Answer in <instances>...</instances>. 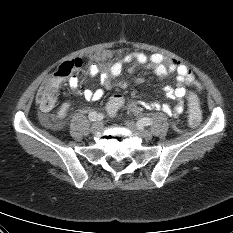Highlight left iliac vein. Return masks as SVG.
Returning a JSON list of instances; mask_svg holds the SVG:
<instances>
[{
	"instance_id": "left-iliac-vein-1",
	"label": "left iliac vein",
	"mask_w": 233,
	"mask_h": 233,
	"mask_svg": "<svg viewBox=\"0 0 233 233\" xmlns=\"http://www.w3.org/2000/svg\"><path fill=\"white\" fill-rule=\"evenodd\" d=\"M126 125L128 128H130L131 130H136L139 132V134L145 138V139H151L152 138V134L150 131L145 130L144 127L142 126V124H135L132 121H127Z\"/></svg>"
}]
</instances>
